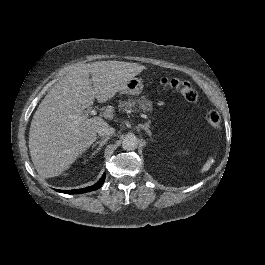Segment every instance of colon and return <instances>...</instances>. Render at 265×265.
I'll list each match as a JSON object with an SVG mask.
<instances>
[{
	"label": "colon",
	"instance_id": "1",
	"mask_svg": "<svg viewBox=\"0 0 265 265\" xmlns=\"http://www.w3.org/2000/svg\"><path fill=\"white\" fill-rule=\"evenodd\" d=\"M161 83L169 88L179 92L187 101L196 102L198 93L192 84L180 78H163ZM207 123L213 129H218L221 123V117L216 110H211L207 114Z\"/></svg>",
	"mask_w": 265,
	"mask_h": 265
}]
</instances>
